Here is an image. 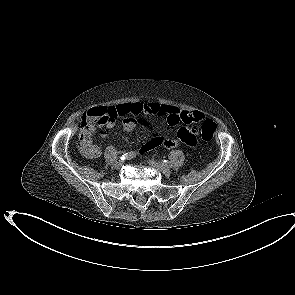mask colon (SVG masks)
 <instances>
[{
	"label": "colon",
	"mask_w": 295,
	"mask_h": 295,
	"mask_svg": "<svg viewBox=\"0 0 295 295\" xmlns=\"http://www.w3.org/2000/svg\"><path fill=\"white\" fill-rule=\"evenodd\" d=\"M107 117L108 112L105 108H94L83 116L82 121L85 127L79 135V145L83 151H88L90 145V135L87 127L93 123L103 121ZM196 123L202 139L205 141L211 140L216 131V123L211 119H201Z\"/></svg>",
	"instance_id": "1"
}]
</instances>
